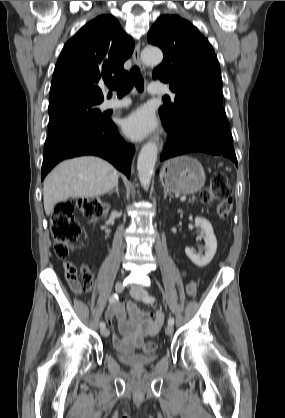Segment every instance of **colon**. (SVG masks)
<instances>
[{"label":"colon","mask_w":285,"mask_h":418,"mask_svg":"<svg viewBox=\"0 0 285 418\" xmlns=\"http://www.w3.org/2000/svg\"><path fill=\"white\" fill-rule=\"evenodd\" d=\"M198 198L204 204L215 201L216 212L220 218H226L231 213L232 193L223 174L213 175L211 184L199 193ZM104 211V206L97 201L70 198L59 202L51 216L55 254L59 258H66L73 251L81 233L80 225L75 220L77 213H82L86 217L100 218ZM86 290L82 284H78L76 287V292L79 294ZM156 348L157 345L153 341H147L143 345L145 353L154 352Z\"/></svg>","instance_id":"obj_1"}]
</instances>
